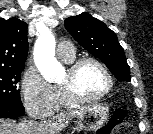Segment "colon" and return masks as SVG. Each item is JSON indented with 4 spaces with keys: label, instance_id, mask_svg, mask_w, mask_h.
Wrapping results in <instances>:
<instances>
[{
    "label": "colon",
    "instance_id": "1",
    "mask_svg": "<svg viewBox=\"0 0 153 134\" xmlns=\"http://www.w3.org/2000/svg\"><path fill=\"white\" fill-rule=\"evenodd\" d=\"M96 134H133L132 126L127 121V111L116 109L108 123Z\"/></svg>",
    "mask_w": 153,
    "mask_h": 134
}]
</instances>
